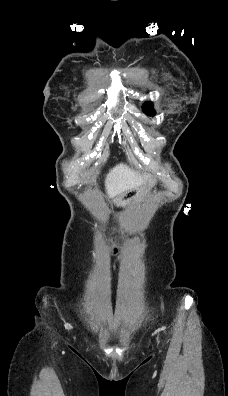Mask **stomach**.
I'll list each match as a JSON object with an SVG mask.
<instances>
[{
    "label": "stomach",
    "mask_w": 228,
    "mask_h": 396,
    "mask_svg": "<svg viewBox=\"0 0 228 396\" xmlns=\"http://www.w3.org/2000/svg\"><path fill=\"white\" fill-rule=\"evenodd\" d=\"M154 182L149 181L142 186L131 188L120 194L114 201L118 207H127L136 200L144 201L149 194Z\"/></svg>",
    "instance_id": "1"
}]
</instances>
